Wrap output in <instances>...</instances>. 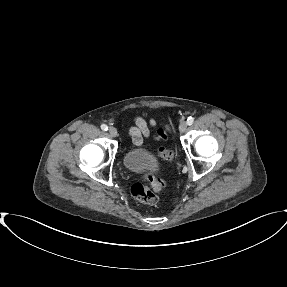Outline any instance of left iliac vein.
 Listing matches in <instances>:
<instances>
[{
    "mask_svg": "<svg viewBox=\"0 0 287 287\" xmlns=\"http://www.w3.org/2000/svg\"><path fill=\"white\" fill-rule=\"evenodd\" d=\"M187 122H185V121H182L181 123H180V125H179V131L181 132V133H184V132H186V130H187Z\"/></svg>",
    "mask_w": 287,
    "mask_h": 287,
    "instance_id": "obj_1",
    "label": "left iliac vein"
}]
</instances>
